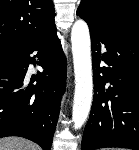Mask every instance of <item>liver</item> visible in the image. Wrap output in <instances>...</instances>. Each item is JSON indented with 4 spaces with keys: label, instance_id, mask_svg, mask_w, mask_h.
I'll return each mask as SVG.
<instances>
[{
    "label": "liver",
    "instance_id": "obj_1",
    "mask_svg": "<svg viewBox=\"0 0 139 150\" xmlns=\"http://www.w3.org/2000/svg\"><path fill=\"white\" fill-rule=\"evenodd\" d=\"M0 150H38V147L28 140L13 137L0 139Z\"/></svg>",
    "mask_w": 139,
    "mask_h": 150
}]
</instances>
